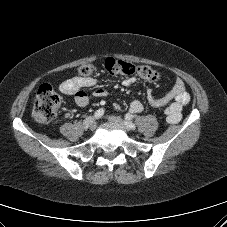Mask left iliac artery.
Instances as JSON below:
<instances>
[{"label": "left iliac artery", "instance_id": "1", "mask_svg": "<svg viewBox=\"0 0 227 227\" xmlns=\"http://www.w3.org/2000/svg\"><path fill=\"white\" fill-rule=\"evenodd\" d=\"M125 124L129 129L134 130L136 128V125L134 123H132L131 121H128V120L125 121Z\"/></svg>", "mask_w": 227, "mask_h": 227}]
</instances>
